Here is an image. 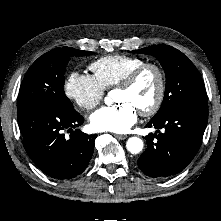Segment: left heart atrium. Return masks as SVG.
<instances>
[{"mask_svg": "<svg viewBox=\"0 0 221 221\" xmlns=\"http://www.w3.org/2000/svg\"><path fill=\"white\" fill-rule=\"evenodd\" d=\"M137 121V110L127 102L102 107L95 111L90 122L97 131L127 132Z\"/></svg>", "mask_w": 221, "mask_h": 221, "instance_id": "left-heart-atrium-1", "label": "left heart atrium"}]
</instances>
